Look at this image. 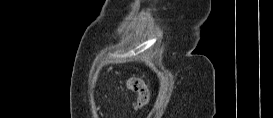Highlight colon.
<instances>
[{"mask_svg": "<svg viewBox=\"0 0 273 118\" xmlns=\"http://www.w3.org/2000/svg\"><path fill=\"white\" fill-rule=\"evenodd\" d=\"M127 89L136 94V108L143 109L149 101V91L145 82L138 77H130L126 83Z\"/></svg>", "mask_w": 273, "mask_h": 118, "instance_id": "colon-1", "label": "colon"}]
</instances>
